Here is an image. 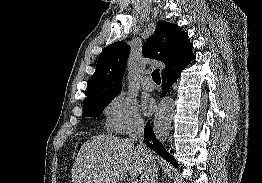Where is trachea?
Masks as SVG:
<instances>
[{
  "instance_id": "obj_1",
  "label": "trachea",
  "mask_w": 262,
  "mask_h": 183,
  "mask_svg": "<svg viewBox=\"0 0 262 183\" xmlns=\"http://www.w3.org/2000/svg\"><path fill=\"white\" fill-rule=\"evenodd\" d=\"M152 79L154 80V82H161V77H160L159 69H155V70L152 72Z\"/></svg>"
}]
</instances>
